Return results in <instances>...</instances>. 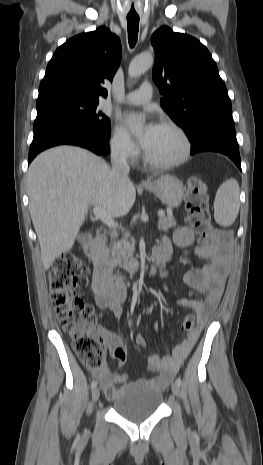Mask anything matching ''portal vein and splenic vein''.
Listing matches in <instances>:
<instances>
[{
    "mask_svg": "<svg viewBox=\"0 0 263 465\" xmlns=\"http://www.w3.org/2000/svg\"><path fill=\"white\" fill-rule=\"evenodd\" d=\"M93 214L96 218L100 219L103 223H105L108 227L116 228L117 225L115 224L112 216L108 214L101 206H94L93 207ZM158 216H164L163 211L158 212Z\"/></svg>",
    "mask_w": 263,
    "mask_h": 465,
    "instance_id": "18ae733b",
    "label": "portal vein and splenic vein"
}]
</instances>
